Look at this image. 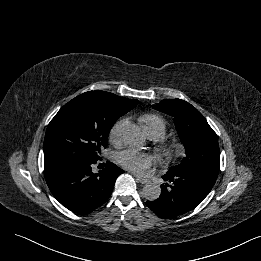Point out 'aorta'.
Here are the masks:
<instances>
[{
    "label": "aorta",
    "instance_id": "1",
    "mask_svg": "<svg viewBox=\"0 0 261 261\" xmlns=\"http://www.w3.org/2000/svg\"><path fill=\"white\" fill-rule=\"evenodd\" d=\"M123 141L132 148L139 149L145 144V137L141 129L135 124H128L122 131ZM161 188L154 183H148L143 187V195L147 200L154 201L159 198Z\"/></svg>",
    "mask_w": 261,
    "mask_h": 261
}]
</instances>
